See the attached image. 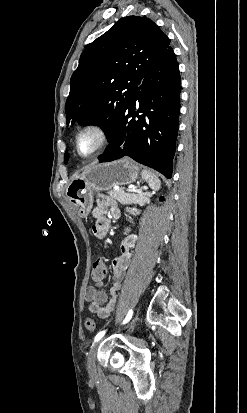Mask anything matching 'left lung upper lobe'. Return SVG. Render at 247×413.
<instances>
[{
  "label": "left lung upper lobe",
  "instance_id": "1",
  "mask_svg": "<svg viewBox=\"0 0 247 413\" xmlns=\"http://www.w3.org/2000/svg\"><path fill=\"white\" fill-rule=\"evenodd\" d=\"M169 48L170 39L147 17L116 22L80 57L65 105L67 123L101 126L109 139L139 82Z\"/></svg>",
  "mask_w": 247,
  "mask_h": 413
}]
</instances>
